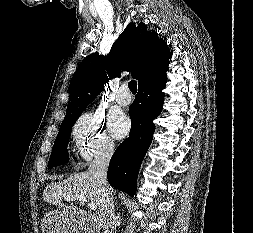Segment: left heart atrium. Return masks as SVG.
<instances>
[{
	"label": "left heart atrium",
	"instance_id": "39dd6f15",
	"mask_svg": "<svg viewBox=\"0 0 253 233\" xmlns=\"http://www.w3.org/2000/svg\"><path fill=\"white\" fill-rule=\"evenodd\" d=\"M108 126L114 137L123 138L130 130V121L122 114H111L109 116Z\"/></svg>",
	"mask_w": 253,
	"mask_h": 233
}]
</instances>
